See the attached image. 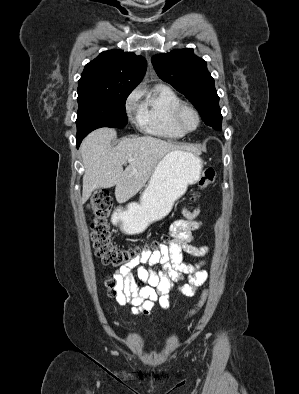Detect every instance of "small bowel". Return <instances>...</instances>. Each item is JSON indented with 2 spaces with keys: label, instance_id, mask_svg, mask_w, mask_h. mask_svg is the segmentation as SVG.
Instances as JSON below:
<instances>
[{
  "label": "small bowel",
  "instance_id": "1",
  "mask_svg": "<svg viewBox=\"0 0 299 394\" xmlns=\"http://www.w3.org/2000/svg\"><path fill=\"white\" fill-rule=\"evenodd\" d=\"M184 219L174 221L169 228L173 241L169 247L159 250L148 249L143 254L123 265L114 274L116 280L115 301L125 306L131 305L130 313L148 315L154 309L156 302L163 309L170 307L167 294L175 283L187 280L179 286V291L185 296H193L195 288L201 286L207 280V273L201 270L203 262L189 264L184 262L183 254L194 257H203L208 252V246H195L192 242L196 239L195 231L201 228L202 222L196 220L200 208L193 211L183 209ZM160 264L158 271L146 268ZM138 281L146 285L140 287Z\"/></svg>",
  "mask_w": 299,
  "mask_h": 394
}]
</instances>
